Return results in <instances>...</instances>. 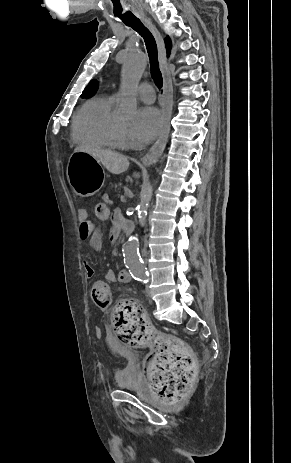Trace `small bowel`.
I'll use <instances>...</instances> for the list:
<instances>
[{"label": "small bowel", "instance_id": "obj_1", "mask_svg": "<svg viewBox=\"0 0 291 463\" xmlns=\"http://www.w3.org/2000/svg\"><path fill=\"white\" fill-rule=\"evenodd\" d=\"M105 205L104 203H102ZM78 219L80 222L79 225V237L81 240H88L91 248L95 251H100L103 246V237L101 231L96 227V225L89 219V212L86 208H82L78 212ZM120 216L116 213H112V217L107 219L112 222V228L109 231V236L112 238L110 243L113 246H118L120 244V232L121 229L116 226ZM84 274L87 278H92L94 276L93 268L86 262H84ZM104 279L108 282L119 281L121 283H128L131 280L130 274L125 270H121L118 275L112 270L109 269L104 274Z\"/></svg>", "mask_w": 291, "mask_h": 463}]
</instances>
